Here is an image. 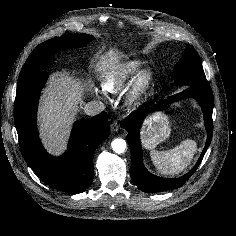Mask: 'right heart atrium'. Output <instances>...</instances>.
Listing matches in <instances>:
<instances>
[{
    "label": "right heart atrium",
    "instance_id": "d8ad5b80",
    "mask_svg": "<svg viewBox=\"0 0 236 236\" xmlns=\"http://www.w3.org/2000/svg\"><path fill=\"white\" fill-rule=\"evenodd\" d=\"M95 95H96L97 97H99V98L103 96L102 93H101V92H98V91L95 92Z\"/></svg>",
    "mask_w": 236,
    "mask_h": 236
}]
</instances>
